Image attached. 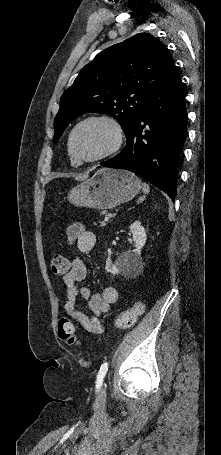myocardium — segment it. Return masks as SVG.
I'll return each mask as SVG.
<instances>
[{"instance_id": "f54148a6", "label": "myocardium", "mask_w": 221, "mask_h": 455, "mask_svg": "<svg viewBox=\"0 0 221 455\" xmlns=\"http://www.w3.org/2000/svg\"><path fill=\"white\" fill-rule=\"evenodd\" d=\"M90 123H100L105 126H107L111 133H112V144L111 146L104 151L103 153L96 155L94 157L90 158H81L77 155L74 147L75 143V138L78 133V131L85 125L90 124ZM124 140V132L123 128L120 124V122L107 114H95V115H90L87 116L83 119H81L76 125L73 127L70 136H69V141H68V147H69V153L71 157L73 158L74 161L77 163H93L97 161H101L114 153H116L122 146Z\"/></svg>"}]
</instances>
